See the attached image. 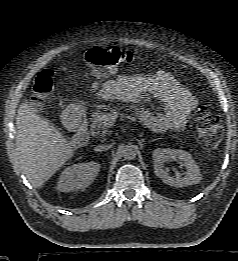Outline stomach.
I'll list each match as a JSON object with an SVG mask.
<instances>
[{
  "instance_id": "obj_1",
  "label": "stomach",
  "mask_w": 238,
  "mask_h": 261,
  "mask_svg": "<svg viewBox=\"0 0 238 261\" xmlns=\"http://www.w3.org/2000/svg\"><path fill=\"white\" fill-rule=\"evenodd\" d=\"M84 111V107L81 104H75L69 109L71 115H79Z\"/></svg>"
}]
</instances>
